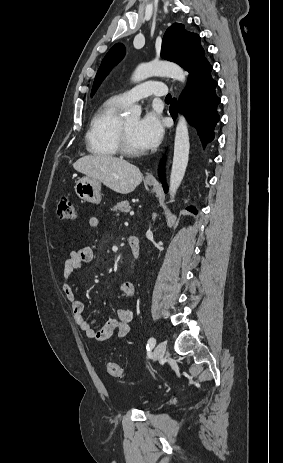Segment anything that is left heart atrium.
Returning <instances> with one entry per match:
<instances>
[{
  "mask_svg": "<svg viewBox=\"0 0 283 463\" xmlns=\"http://www.w3.org/2000/svg\"><path fill=\"white\" fill-rule=\"evenodd\" d=\"M164 133L160 118L148 113L138 121L135 129L137 142L143 150H151L159 145Z\"/></svg>",
  "mask_w": 283,
  "mask_h": 463,
  "instance_id": "39dd6f15",
  "label": "left heart atrium"
}]
</instances>
